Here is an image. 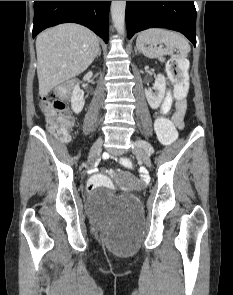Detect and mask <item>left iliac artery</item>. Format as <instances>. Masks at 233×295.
<instances>
[{
  "label": "left iliac artery",
  "mask_w": 233,
  "mask_h": 295,
  "mask_svg": "<svg viewBox=\"0 0 233 295\" xmlns=\"http://www.w3.org/2000/svg\"><path fill=\"white\" fill-rule=\"evenodd\" d=\"M140 144L141 147L144 148V151H147V153H152L154 150H153V145H150V142H148V140H140L138 142Z\"/></svg>",
  "instance_id": "obj_1"
}]
</instances>
